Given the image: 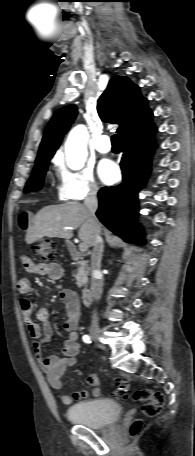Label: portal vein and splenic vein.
Instances as JSON below:
<instances>
[{"label":"portal vein and splenic vein","mask_w":195,"mask_h":456,"mask_svg":"<svg viewBox=\"0 0 195 456\" xmlns=\"http://www.w3.org/2000/svg\"><path fill=\"white\" fill-rule=\"evenodd\" d=\"M66 229H72V228H66ZM87 249H88V246H87L85 243H81V244L79 245V250H80L81 252H85Z\"/></svg>","instance_id":"18ae733b"}]
</instances>
